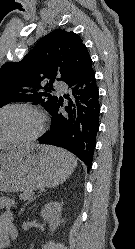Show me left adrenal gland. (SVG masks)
<instances>
[{"instance_id":"left-adrenal-gland-1","label":"left adrenal gland","mask_w":135,"mask_h":249,"mask_svg":"<svg viewBox=\"0 0 135 249\" xmlns=\"http://www.w3.org/2000/svg\"><path fill=\"white\" fill-rule=\"evenodd\" d=\"M33 200H34V198L30 199V200L23 206V208H22L21 211H20V214L24 211L25 206H26L27 204H29L30 202H32Z\"/></svg>"}]
</instances>
